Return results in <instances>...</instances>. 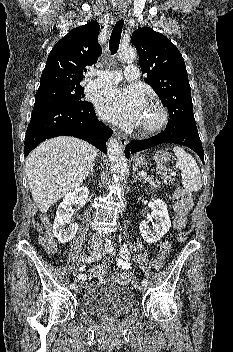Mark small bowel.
Wrapping results in <instances>:
<instances>
[{"label":"small bowel","instance_id":"c3829d8e","mask_svg":"<svg viewBox=\"0 0 233 352\" xmlns=\"http://www.w3.org/2000/svg\"><path fill=\"white\" fill-rule=\"evenodd\" d=\"M117 263H118V266L123 270H129L132 268L129 261V254L125 247L122 248L121 257L117 260ZM78 269L80 273L76 276V280L80 284L85 285L86 283V275L84 274L85 266L80 265Z\"/></svg>","mask_w":233,"mask_h":352}]
</instances>
